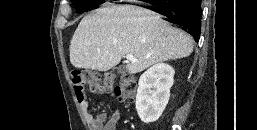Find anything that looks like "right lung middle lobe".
Here are the masks:
<instances>
[{
    "mask_svg": "<svg viewBox=\"0 0 257 130\" xmlns=\"http://www.w3.org/2000/svg\"><path fill=\"white\" fill-rule=\"evenodd\" d=\"M78 13L89 11L92 8L102 4L104 0H71Z\"/></svg>",
    "mask_w": 257,
    "mask_h": 130,
    "instance_id": "obj_1",
    "label": "right lung middle lobe"
}]
</instances>
